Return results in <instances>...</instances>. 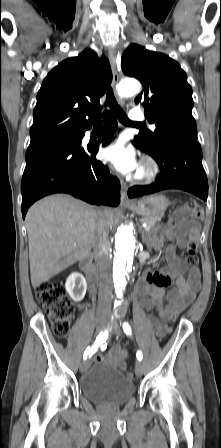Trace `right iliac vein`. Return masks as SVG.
Here are the masks:
<instances>
[{"label": "right iliac vein", "mask_w": 221, "mask_h": 448, "mask_svg": "<svg viewBox=\"0 0 221 448\" xmlns=\"http://www.w3.org/2000/svg\"><path fill=\"white\" fill-rule=\"evenodd\" d=\"M104 328H105L104 320H102V319L97 320L96 333L98 334V333L102 332L104 330ZM89 366H90V361L88 359H85L80 365L81 373H85L88 370Z\"/></svg>", "instance_id": "right-iliac-vein-1"}]
</instances>
